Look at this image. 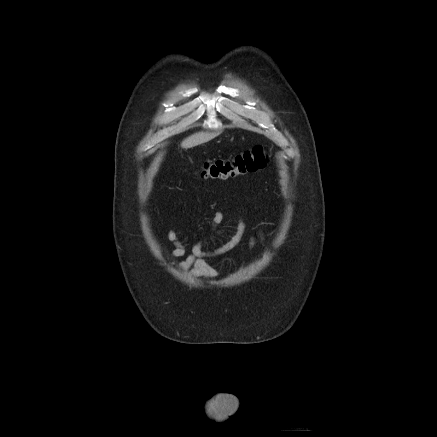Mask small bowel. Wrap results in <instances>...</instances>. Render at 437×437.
<instances>
[{
    "label": "small bowel",
    "instance_id": "1",
    "mask_svg": "<svg viewBox=\"0 0 437 437\" xmlns=\"http://www.w3.org/2000/svg\"><path fill=\"white\" fill-rule=\"evenodd\" d=\"M223 213L218 211L214 214L211 220L210 232H213L223 221ZM245 222L243 219H239L236 226V231L233 236L225 244L214 250H205L204 243L205 240H200L192 247L191 253L186 256L183 260L178 262L175 266L181 271L189 273L193 277H201L204 279H214L220 276V272L211 266L206 258H211L215 256L222 255L233 248H235L242 240L245 232ZM261 242L265 243L264 235L259 232L257 236ZM167 239L172 243L173 248L170 250V256L173 258H181L186 254V248L181 242L178 234L174 230H169L167 232ZM256 244V237L252 236L249 239V248H253ZM242 267L240 268V271Z\"/></svg>",
    "mask_w": 437,
    "mask_h": 437
}]
</instances>
